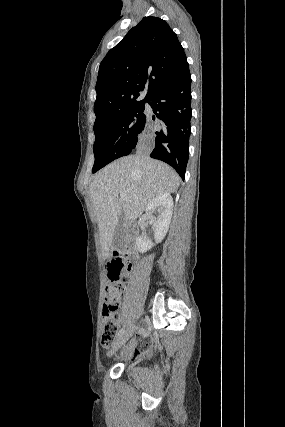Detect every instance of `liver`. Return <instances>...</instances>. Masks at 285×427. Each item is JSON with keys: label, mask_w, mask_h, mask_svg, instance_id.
<instances>
[{"label": "liver", "mask_w": 285, "mask_h": 427, "mask_svg": "<svg viewBox=\"0 0 285 427\" xmlns=\"http://www.w3.org/2000/svg\"><path fill=\"white\" fill-rule=\"evenodd\" d=\"M179 185L180 178L169 165L141 152L122 157L99 171L89 193L104 259L108 257L122 214L127 221L136 220L156 196L174 193ZM120 194H124L127 201L121 200Z\"/></svg>", "instance_id": "liver-1"}]
</instances>
